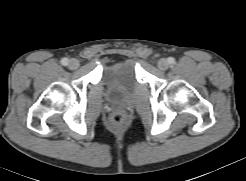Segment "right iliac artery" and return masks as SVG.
Returning a JSON list of instances; mask_svg holds the SVG:
<instances>
[{
    "label": "right iliac artery",
    "mask_w": 246,
    "mask_h": 181,
    "mask_svg": "<svg viewBox=\"0 0 246 181\" xmlns=\"http://www.w3.org/2000/svg\"><path fill=\"white\" fill-rule=\"evenodd\" d=\"M68 63H69V60L67 58H63L61 60V64L64 65V66L68 65Z\"/></svg>",
    "instance_id": "82829eb1"
}]
</instances>
